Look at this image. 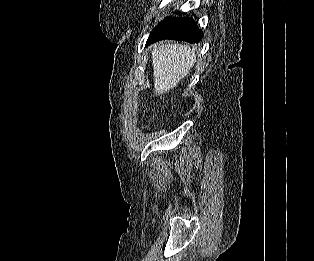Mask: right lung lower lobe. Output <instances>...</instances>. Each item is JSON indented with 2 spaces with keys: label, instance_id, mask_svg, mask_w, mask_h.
Instances as JSON below:
<instances>
[{
  "label": "right lung lower lobe",
  "instance_id": "right-lung-lower-lobe-1",
  "mask_svg": "<svg viewBox=\"0 0 314 261\" xmlns=\"http://www.w3.org/2000/svg\"><path fill=\"white\" fill-rule=\"evenodd\" d=\"M202 37L203 32L192 18L167 17L151 32L146 46L164 39L198 43Z\"/></svg>",
  "mask_w": 314,
  "mask_h": 261
}]
</instances>
